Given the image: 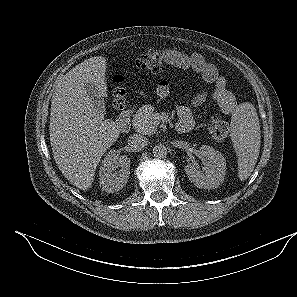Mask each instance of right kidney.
I'll use <instances>...</instances> for the list:
<instances>
[{
    "label": "right kidney",
    "instance_id": "ca27d5eb",
    "mask_svg": "<svg viewBox=\"0 0 297 297\" xmlns=\"http://www.w3.org/2000/svg\"><path fill=\"white\" fill-rule=\"evenodd\" d=\"M130 159L126 155L117 156L115 150H110L102 164L99 172V182L102 190L113 193L121 190L129 178ZM120 168L119 171H115Z\"/></svg>",
    "mask_w": 297,
    "mask_h": 297
}]
</instances>
